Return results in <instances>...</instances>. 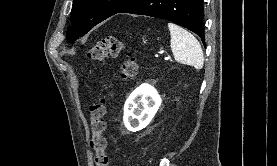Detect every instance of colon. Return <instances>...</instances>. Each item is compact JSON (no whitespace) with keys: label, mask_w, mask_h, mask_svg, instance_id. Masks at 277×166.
I'll list each match as a JSON object with an SVG mask.
<instances>
[{"label":"colon","mask_w":277,"mask_h":166,"mask_svg":"<svg viewBox=\"0 0 277 166\" xmlns=\"http://www.w3.org/2000/svg\"><path fill=\"white\" fill-rule=\"evenodd\" d=\"M126 53L125 43L118 37L109 35L96 42L87 52L86 57L92 61H102L116 58ZM138 63L136 58L128 54L120 64L122 79H132L136 76ZM109 94L101 95L90 107V147L95 152V166H108L109 157L106 152L105 113Z\"/></svg>","instance_id":"1"}]
</instances>
